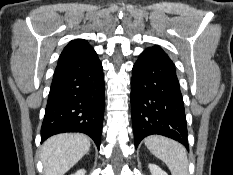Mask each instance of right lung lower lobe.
<instances>
[{
    "label": "right lung lower lobe",
    "mask_w": 233,
    "mask_h": 175,
    "mask_svg": "<svg viewBox=\"0 0 233 175\" xmlns=\"http://www.w3.org/2000/svg\"><path fill=\"white\" fill-rule=\"evenodd\" d=\"M104 91L103 68L95 51L58 64L41 127V142L58 133L82 132L99 149Z\"/></svg>",
    "instance_id": "obj_1"
}]
</instances>
